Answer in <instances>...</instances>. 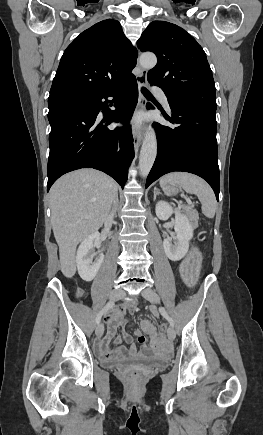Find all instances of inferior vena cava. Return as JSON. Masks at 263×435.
Here are the masks:
<instances>
[{
  "label": "inferior vena cava",
  "instance_id": "inferior-vena-cava-1",
  "mask_svg": "<svg viewBox=\"0 0 263 435\" xmlns=\"http://www.w3.org/2000/svg\"><path fill=\"white\" fill-rule=\"evenodd\" d=\"M116 212V207L115 205L111 208L110 213L106 219L107 222H111L113 220L114 214Z\"/></svg>",
  "mask_w": 263,
  "mask_h": 435
}]
</instances>
